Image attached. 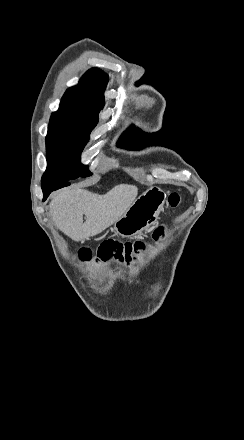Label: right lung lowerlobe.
Returning <instances> with one entry per match:
<instances>
[{
    "mask_svg": "<svg viewBox=\"0 0 244 440\" xmlns=\"http://www.w3.org/2000/svg\"><path fill=\"white\" fill-rule=\"evenodd\" d=\"M68 185H70V183L67 180L46 181L42 183L43 201L47 199V197L52 191H55L57 189H60Z\"/></svg>",
    "mask_w": 244,
    "mask_h": 440,
    "instance_id": "1",
    "label": "right lung lower lobe"
}]
</instances>
